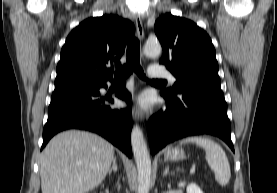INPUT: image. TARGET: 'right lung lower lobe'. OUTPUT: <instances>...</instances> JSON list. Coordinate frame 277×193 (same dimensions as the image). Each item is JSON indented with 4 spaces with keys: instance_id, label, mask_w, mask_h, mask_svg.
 I'll return each mask as SVG.
<instances>
[{
    "instance_id": "98d812e1",
    "label": "right lung lower lobe",
    "mask_w": 277,
    "mask_h": 193,
    "mask_svg": "<svg viewBox=\"0 0 277 193\" xmlns=\"http://www.w3.org/2000/svg\"><path fill=\"white\" fill-rule=\"evenodd\" d=\"M101 87L107 86L103 84L95 87L54 90L48 108V120L43 130L42 148L58 132L76 128L98 133L128 157L132 156L131 95L123 86L116 92V96L125 100L128 107L121 110L111 109L107 105V99L100 97Z\"/></svg>"
}]
</instances>
